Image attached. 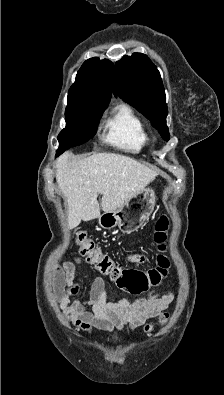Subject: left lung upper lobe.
<instances>
[{
    "instance_id": "obj_1",
    "label": "left lung upper lobe",
    "mask_w": 224,
    "mask_h": 395,
    "mask_svg": "<svg viewBox=\"0 0 224 395\" xmlns=\"http://www.w3.org/2000/svg\"><path fill=\"white\" fill-rule=\"evenodd\" d=\"M114 92L146 116L164 140L170 135L165 90L156 66L142 53L123 56L115 64Z\"/></svg>"
}]
</instances>
